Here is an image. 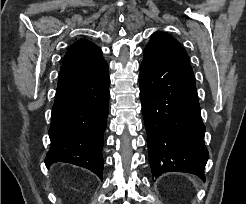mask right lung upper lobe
I'll return each mask as SVG.
<instances>
[{
	"label": "right lung upper lobe",
	"instance_id": "cb5924a9",
	"mask_svg": "<svg viewBox=\"0 0 246 204\" xmlns=\"http://www.w3.org/2000/svg\"><path fill=\"white\" fill-rule=\"evenodd\" d=\"M91 64H106L102 57V51L91 41L79 40L67 51L62 67Z\"/></svg>",
	"mask_w": 246,
	"mask_h": 204
}]
</instances>
